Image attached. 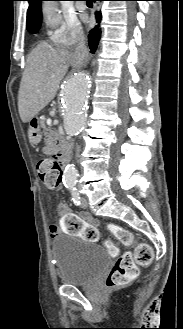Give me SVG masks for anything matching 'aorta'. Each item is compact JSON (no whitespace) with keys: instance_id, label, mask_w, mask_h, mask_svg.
<instances>
[{"instance_id":"762f6f07","label":"aorta","mask_w":183,"mask_h":329,"mask_svg":"<svg viewBox=\"0 0 183 329\" xmlns=\"http://www.w3.org/2000/svg\"><path fill=\"white\" fill-rule=\"evenodd\" d=\"M46 24L56 27L60 22L57 7L52 2L43 6ZM92 89V79L85 72L73 73L65 82L61 93L63 109V126L67 135L76 136L84 128L87 119V105ZM78 172L74 165L66 166L63 174V183L66 187L76 184Z\"/></svg>"}]
</instances>
